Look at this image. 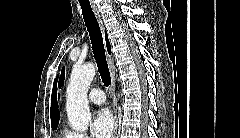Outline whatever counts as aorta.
<instances>
[{
	"mask_svg": "<svg viewBox=\"0 0 240 138\" xmlns=\"http://www.w3.org/2000/svg\"><path fill=\"white\" fill-rule=\"evenodd\" d=\"M96 74L92 63L75 65L66 91V111L72 129L85 132L91 121L87 100L90 84Z\"/></svg>",
	"mask_w": 240,
	"mask_h": 138,
	"instance_id": "1",
	"label": "aorta"
}]
</instances>
